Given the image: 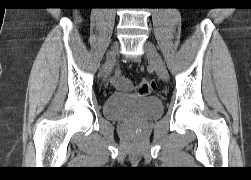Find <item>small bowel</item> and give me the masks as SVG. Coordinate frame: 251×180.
Returning a JSON list of instances; mask_svg holds the SVG:
<instances>
[{"mask_svg":"<svg viewBox=\"0 0 251 180\" xmlns=\"http://www.w3.org/2000/svg\"><path fill=\"white\" fill-rule=\"evenodd\" d=\"M115 84H116V87L120 90H127L130 88V82L121 76H118L116 78Z\"/></svg>","mask_w":251,"mask_h":180,"instance_id":"obj_1","label":"small bowel"}]
</instances>
